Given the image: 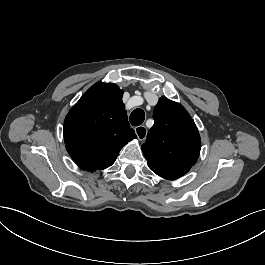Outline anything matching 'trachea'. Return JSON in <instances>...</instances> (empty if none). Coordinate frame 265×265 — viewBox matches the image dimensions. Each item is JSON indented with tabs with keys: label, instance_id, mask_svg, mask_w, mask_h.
<instances>
[{
	"label": "trachea",
	"instance_id": "3493384b",
	"mask_svg": "<svg viewBox=\"0 0 265 265\" xmlns=\"http://www.w3.org/2000/svg\"><path fill=\"white\" fill-rule=\"evenodd\" d=\"M145 120V113L142 109H135L130 115V122L133 126L141 125Z\"/></svg>",
	"mask_w": 265,
	"mask_h": 265
}]
</instances>
